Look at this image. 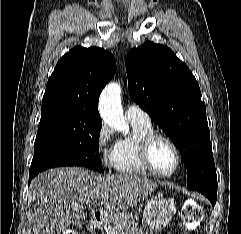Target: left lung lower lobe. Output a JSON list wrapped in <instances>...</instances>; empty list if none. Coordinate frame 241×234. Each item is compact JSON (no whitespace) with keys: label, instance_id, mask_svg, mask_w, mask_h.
Returning a JSON list of instances; mask_svg holds the SVG:
<instances>
[{"label":"left lung lower lobe","instance_id":"0a47b994","mask_svg":"<svg viewBox=\"0 0 241 234\" xmlns=\"http://www.w3.org/2000/svg\"><path fill=\"white\" fill-rule=\"evenodd\" d=\"M216 198H217V196H216V197L208 196V199L210 200V202L212 203L213 206H214L215 203H216Z\"/></svg>","mask_w":241,"mask_h":234}]
</instances>
